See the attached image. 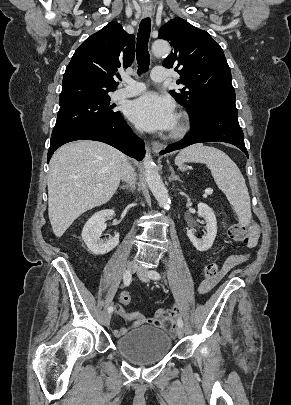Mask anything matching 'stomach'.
<instances>
[{
	"mask_svg": "<svg viewBox=\"0 0 291 405\" xmlns=\"http://www.w3.org/2000/svg\"><path fill=\"white\" fill-rule=\"evenodd\" d=\"M179 169L184 171L186 169V167L184 165H180Z\"/></svg>",
	"mask_w": 291,
	"mask_h": 405,
	"instance_id": "1",
	"label": "stomach"
}]
</instances>
